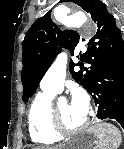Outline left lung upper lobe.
<instances>
[{"mask_svg": "<svg viewBox=\"0 0 124 149\" xmlns=\"http://www.w3.org/2000/svg\"><path fill=\"white\" fill-rule=\"evenodd\" d=\"M90 13L97 25V32L89 40L88 50L80 60L91 64L83 67L82 63L70 62V71L74 80L86 90L95 78L98 69L124 54V41L121 30L116 26L115 18L108 13L106 6L99 0H72ZM84 41L74 30L61 31L51 19V11L39 18L28 30L22 42L23 54L21 80L23 101L26 102L36 92L38 84L48 70L61 48H67L73 55L78 43ZM81 70L75 72V66Z\"/></svg>", "mask_w": 124, "mask_h": 149, "instance_id": "1", "label": "left lung upper lobe"}]
</instances>
